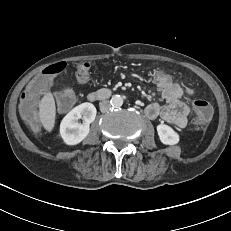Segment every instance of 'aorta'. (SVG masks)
Wrapping results in <instances>:
<instances>
[{
	"mask_svg": "<svg viewBox=\"0 0 231 231\" xmlns=\"http://www.w3.org/2000/svg\"><path fill=\"white\" fill-rule=\"evenodd\" d=\"M110 103L114 108H119L123 105V97L120 95H113Z\"/></svg>",
	"mask_w": 231,
	"mask_h": 231,
	"instance_id": "aorta-1",
	"label": "aorta"
}]
</instances>
